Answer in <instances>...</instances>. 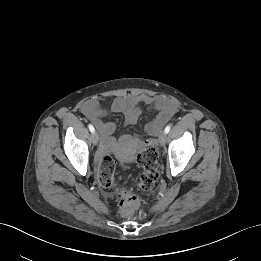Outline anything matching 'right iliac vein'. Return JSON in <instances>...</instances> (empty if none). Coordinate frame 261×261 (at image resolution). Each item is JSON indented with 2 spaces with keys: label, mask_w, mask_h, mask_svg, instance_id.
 Instances as JSON below:
<instances>
[{
  "label": "right iliac vein",
  "mask_w": 261,
  "mask_h": 261,
  "mask_svg": "<svg viewBox=\"0 0 261 261\" xmlns=\"http://www.w3.org/2000/svg\"><path fill=\"white\" fill-rule=\"evenodd\" d=\"M91 140L94 145H97L99 142V135L97 132H93L91 135Z\"/></svg>",
  "instance_id": "63e3f726"
}]
</instances>
